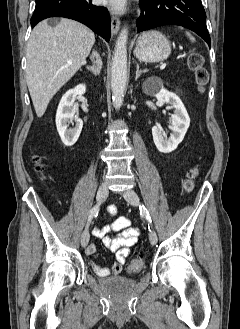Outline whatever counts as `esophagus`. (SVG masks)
<instances>
[{"mask_svg":"<svg viewBox=\"0 0 240 329\" xmlns=\"http://www.w3.org/2000/svg\"><path fill=\"white\" fill-rule=\"evenodd\" d=\"M120 29V20L116 15L111 16V31L112 34H117Z\"/></svg>","mask_w":240,"mask_h":329,"instance_id":"obj_1","label":"esophagus"}]
</instances>
